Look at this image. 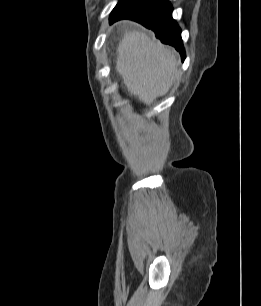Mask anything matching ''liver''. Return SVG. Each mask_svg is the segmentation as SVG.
Returning <instances> with one entry per match:
<instances>
[{
    "mask_svg": "<svg viewBox=\"0 0 261 306\" xmlns=\"http://www.w3.org/2000/svg\"><path fill=\"white\" fill-rule=\"evenodd\" d=\"M177 66L173 51L142 31L125 32L117 48V72L128 92L146 104L168 92Z\"/></svg>",
    "mask_w": 261,
    "mask_h": 306,
    "instance_id": "6515ba94",
    "label": "liver"
}]
</instances>
